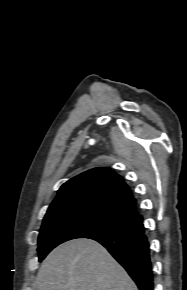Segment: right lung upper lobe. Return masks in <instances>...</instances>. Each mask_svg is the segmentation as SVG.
Instances as JSON below:
<instances>
[{
	"mask_svg": "<svg viewBox=\"0 0 187 290\" xmlns=\"http://www.w3.org/2000/svg\"><path fill=\"white\" fill-rule=\"evenodd\" d=\"M84 206L107 208L131 224L142 220L136 212V200L130 188L121 176L106 167L88 170L64 183L46 215Z\"/></svg>",
	"mask_w": 187,
	"mask_h": 290,
	"instance_id": "1",
	"label": "right lung upper lobe"
}]
</instances>
